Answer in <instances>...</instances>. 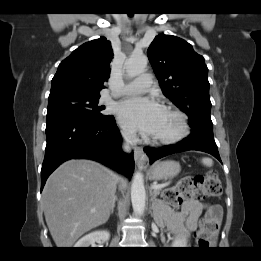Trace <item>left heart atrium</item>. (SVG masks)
<instances>
[{
    "instance_id": "39dd6f15",
    "label": "left heart atrium",
    "mask_w": 261,
    "mask_h": 261,
    "mask_svg": "<svg viewBox=\"0 0 261 261\" xmlns=\"http://www.w3.org/2000/svg\"><path fill=\"white\" fill-rule=\"evenodd\" d=\"M165 110L155 100L145 97L126 99L118 106L120 123L127 129L144 135H154Z\"/></svg>"
}]
</instances>
